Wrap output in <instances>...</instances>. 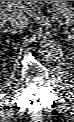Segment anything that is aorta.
I'll use <instances>...</instances> for the list:
<instances>
[{
    "label": "aorta",
    "mask_w": 74,
    "mask_h": 122,
    "mask_svg": "<svg viewBox=\"0 0 74 122\" xmlns=\"http://www.w3.org/2000/svg\"><path fill=\"white\" fill-rule=\"evenodd\" d=\"M38 51L40 58L47 63L55 62L62 55L60 47L53 40H42Z\"/></svg>",
    "instance_id": "1"
}]
</instances>
